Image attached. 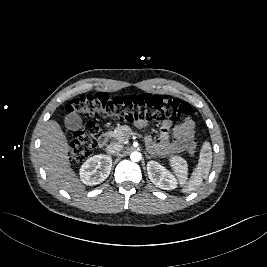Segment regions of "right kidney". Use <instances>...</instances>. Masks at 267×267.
Here are the masks:
<instances>
[{
  "label": "right kidney",
  "mask_w": 267,
  "mask_h": 267,
  "mask_svg": "<svg viewBox=\"0 0 267 267\" xmlns=\"http://www.w3.org/2000/svg\"><path fill=\"white\" fill-rule=\"evenodd\" d=\"M112 168V158L108 155H95L88 158L80 168V179L88 186L105 181Z\"/></svg>",
  "instance_id": "obj_1"
}]
</instances>
